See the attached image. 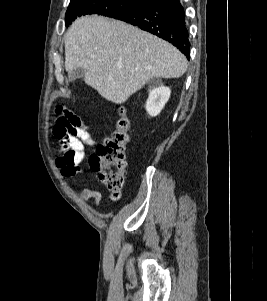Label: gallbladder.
<instances>
[{"mask_svg":"<svg viewBox=\"0 0 267 301\" xmlns=\"http://www.w3.org/2000/svg\"><path fill=\"white\" fill-rule=\"evenodd\" d=\"M84 75V70L81 68L75 69L72 72H68V77L66 78L67 82H73L76 79L82 78Z\"/></svg>","mask_w":267,"mask_h":301,"instance_id":"gallbladder-1","label":"gallbladder"}]
</instances>
